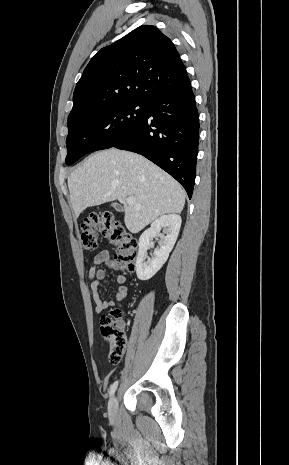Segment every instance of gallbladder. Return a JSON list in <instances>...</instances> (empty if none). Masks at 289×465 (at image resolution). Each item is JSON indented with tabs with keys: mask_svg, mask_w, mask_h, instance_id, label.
Returning a JSON list of instances; mask_svg holds the SVG:
<instances>
[{
	"mask_svg": "<svg viewBox=\"0 0 289 465\" xmlns=\"http://www.w3.org/2000/svg\"><path fill=\"white\" fill-rule=\"evenodd\" d=\"M114 207L115 209H117L118 211H122V207L118 204H114Z\"/></svg>",
	"mask_w": 289,
	"mask_h": 465,
	"instance_id": "bac80fb5",
	"label": "gallbladder"
}]
</instances>
